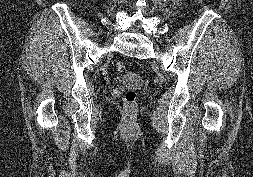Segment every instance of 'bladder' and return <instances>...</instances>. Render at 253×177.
<instances>
[{
  "mask_svg": "<svg viewBox=\"0 0 253 177\" xmlns=\"http://www.w3.org/2000/svg\"><path fill=\"white\" fill-rule=\"evenodd\" d=\"M123 82L130 86H138L142 83V78L139 73L136 72H128L124 78Z\"/></svg>",
  "mask_w": 253,
  "mask_h": 177,
  "instance_id": "1",
  "label": "bladder"
}]
</instances>
